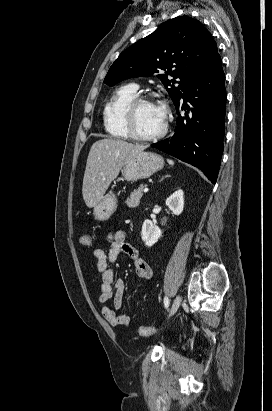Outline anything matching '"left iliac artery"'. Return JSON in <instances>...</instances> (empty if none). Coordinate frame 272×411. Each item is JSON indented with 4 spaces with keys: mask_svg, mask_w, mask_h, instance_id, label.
Masks as SVG:
<instances>
[{
    "mask_svg": "<svg viewBox=\"0 0 272 411\" xmlns=\"http://www.w3.org/2000/svg\"><path fill=\"white\" fill-rule=\"evenodd\" d=\"M164 305H165V308H168V306H169V299H168V297H165V298H164Z\"/></svg>",
    "mask_w": 272,
    "mask_h": 411,
    "instance_id": "1",
    "label": "left iliac artery"
}]
</instances>
